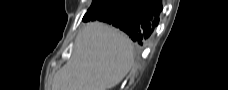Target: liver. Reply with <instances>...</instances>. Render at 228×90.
Here are the masks:
<instances>
[{"mask_svg": "<svg viewBox=\"0 0 228 90\" xmlns=\"http://www.w3.org/2000/svg\"><path fill=\"white\" fill-rule=\"evenodd\" d=\"M133 45L119 30L88 24L77 36L70 60L54 75L52 90H109L133 65Z\"/></svg>", "mask_w": 228, "mask_h": 90, "instance_id": "6515ba94", "label": "liver"}]
</instances>
